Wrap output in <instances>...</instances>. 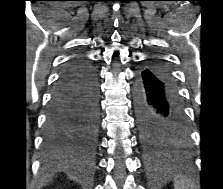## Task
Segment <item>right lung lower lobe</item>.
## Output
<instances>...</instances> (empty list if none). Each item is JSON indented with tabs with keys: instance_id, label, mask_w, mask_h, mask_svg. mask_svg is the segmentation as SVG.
<instances>
[{
	"instance_id": "right-lung-lower-lobe-1",
	"label": "right lung lower lobe",
	"mask_w": 223,
	"mask_h": 189,
	"mask_svg": "<svg viewBox=\"0 0 223 189\" xmlns=\"http://www.w3.org/2000/svg\"><path fill=\"white\" fill-rule=\"evenodd\" d=\"M99 122L96 69L86 59L69 61L50 101L44 144L49 152L88 151L95 143Z\"/></svg>"
}]
</instances>
